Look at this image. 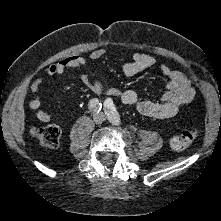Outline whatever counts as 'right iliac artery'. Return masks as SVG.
<instances>
[{"instance_id":"1","label":"right iliac artery","mask_w":221,"mask_h":221,"mask_svg":"<svg viewBox=\"0 0 221 221\" xmlns=\"http://www.w3.org/2000/svg\"><path fill=\"white\" fill-rule=\"evenodd\" d=\"M88 108L95 113H99L101 111L102 104L97 98H93L89 101Z\"/></svg>"}]
</instances>
